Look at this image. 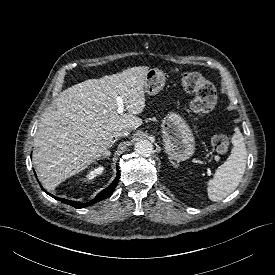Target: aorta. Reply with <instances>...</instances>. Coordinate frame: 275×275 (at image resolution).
I'll list each match as a JSON object with an SVG mask.
<instances>
[{
	"mask_svg": "<svg viewBox=\"0 0 275 275\" xmlns=\"http://www.w3.org/2000/svg\"><path fill=\"white\" fill-rule=\"evenodd\" d=\"M134 150L138 155L147 157L153 152V144L149 140H140L135 143Z\"/></svg>",
	"mask_w": 275,
	"mask_h": 275,
	"instance_id": "1",
	"label": "aorta"
}]
</instances>
